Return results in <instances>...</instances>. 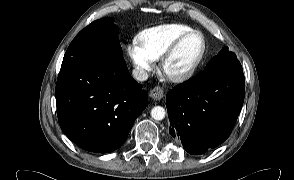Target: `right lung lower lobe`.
Instances as JSON below:
<instances>
[{"label":"right lung lower lobe","mask_w":294,"mask_h":180,"mask_svg":"<svg viewBox=\"0 0 294 180\" xmlns=\"http://www.w3.org/2000/svg\"><path fill=\"white\" fill-rule=\"evenodd\" d=\"M148 93L128 73L122 53L95 54L63 64L56 84L58 120L80 148H119L148 105Z\"/></svg>","instance_id":"1"}]
</instances>
